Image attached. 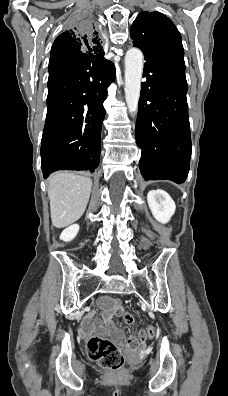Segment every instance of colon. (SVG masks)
Here are the masks:
<instances>
[{"mask_svg": "<svg viewBox=\"0 0 228 396\" xmlns=\"http://www.w3.org/2000/svg\"><path fill=\"white\" fill-rule=\"evenodd\" d=\"M125 322L129 325L134 324L131 314H124ZM146 337L152 338L156 335V328L153 325L145 330ZM91 359L96 361L101 367L111 371H119L124 365V356L114 342L103 337L94 336L87 343Z\"/></svg>", "mask_w": 228, "mask_h": 396, "instance_id": "colon-1", "label": "colon"}]
</instances>
